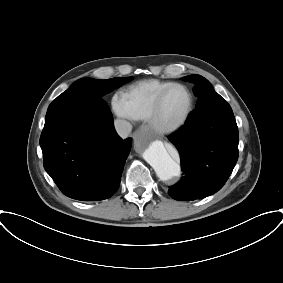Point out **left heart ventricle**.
<instances>
[{
	"label": "left heart ventricle",
	"mask_w": 283,
	"mask_h": 283,
	"mask_svg": "<svg viewBox=\"0 0 283 283\" xmlns=\"http://www.w3.org/2000/svg\"><path fill=\"white\" fill-rule=\"evenodd\" d=\"M189 105L188 93L182 88L172 89L164 98L159 119L162 124L170 125L179 121Z\"/></svg>",
	"instance_id": "left-heart-ventricle-1"
}]
</instances>
